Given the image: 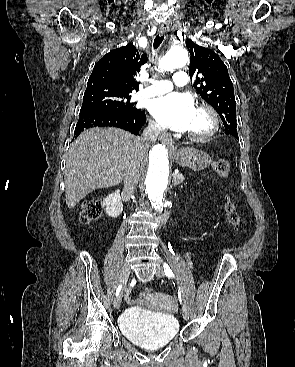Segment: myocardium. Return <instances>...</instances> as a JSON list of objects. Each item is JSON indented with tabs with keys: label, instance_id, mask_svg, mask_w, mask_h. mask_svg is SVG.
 <instances>
[{
	"label": "myocardium",
	"instance_id": "f54148a6",
	"mask_svg": "<svg viewBox=\"0 0 295 367\" xmlns=\"http://www.w3.org/2000/svg\"><path fill=\"white\" fill-rule=\"evenodd\" d=\"M197 111L205 113L209 120L210 126L209 129L201 134H195L191 132H187L186 136L188 139L194 142H206L212 139L219 130L220 122L217 112L207 104H201L197 107Z\"/></svg>",
	"mask_w": 295,
	"mask_h": 367
}]
</instances>
